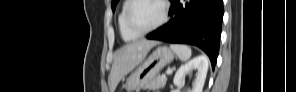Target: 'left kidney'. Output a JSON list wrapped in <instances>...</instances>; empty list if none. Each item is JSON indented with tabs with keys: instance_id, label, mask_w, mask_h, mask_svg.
<instances>
[{
	"instance_id": "obj_1",
	"label": "left kidney",
	"mask_w": 296,
	"mask_h": 92,
	"mask_svg": "<svg viewBox=\"0 0 296 92\" xmlns=\"http://www.w3.org/2000/svg\"><path fill=\"white\" fill-rule=\"evenodd\" d=\"M208 63L209 61L207 57L201 55L190 60L188 63L181 65L174 76V85L182 86L184 84L185 76L193 70H197L192 89L188 92H202L208 71Z\"/></svg>"
}]
</instances>
